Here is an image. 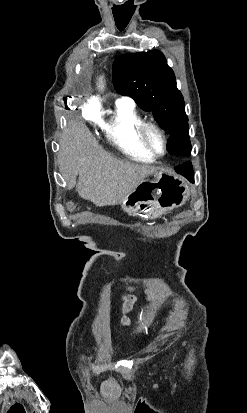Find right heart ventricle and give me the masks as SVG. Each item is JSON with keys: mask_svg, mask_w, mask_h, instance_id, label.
Instances as JSON below:
<instances>
[{"mask_svg": "<svg viewBox=\"0 0 247 413\" xmlns=\"http://www.w3.org/2000/svg\"><path fill=\"white\" fill-rule=\"evenodd\" d=\"M142 120L134 113L121 107L119 116L106 127L108 139L129 159L137 162L152 163L156 158L147 154L138 144L136 131Z\"/></svg>", "mask_w": 247, "mask_h": 413, "instance_id": "1", "label": "right heart ventricle"}]
</instances>
